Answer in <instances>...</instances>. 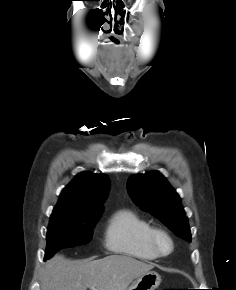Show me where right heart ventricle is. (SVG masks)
I'll use <instances>...</instances> for the list:
<instances>
[{
  "label": "right heart ventricle",
  "mask_w": 236,
  "mask_h": 290,
  "mask_svg": "<svg viewBox=\"0 0 236 290\" xmlns=\"http://www.w3.org/2000/svg\"><path fill=\"white\" fill-rule=\"evenodd\" d=\"M152 225L131 209L115 211L108 220L105 234V247L116 254L142 261H155L159 258L150 244Z\"/></svg>",
  "instance_id": "1"
}]
</instances>
